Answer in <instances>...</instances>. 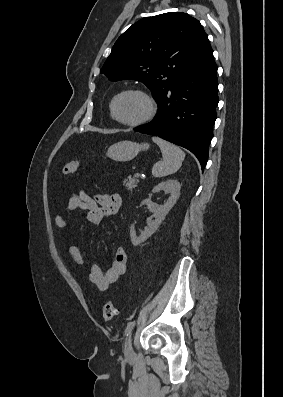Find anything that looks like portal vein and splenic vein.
Masks as SVG:
<instances>
[{"label": "portal vein and splenic vein", "mask_w": 283, "mask_h": 397, "mask_svg": "<svg viewBox=\"0 0 283 397\" xmlns=\"http://www.w3.org/2000/svg\"><path fill=\"white\" fill-rule=\"evenodd\" d=\"M135 177H136V178H139V177H140V173H138V172L135 173Z\"/></svg>", "instance_id": "18ae733b"}]
</instances>
